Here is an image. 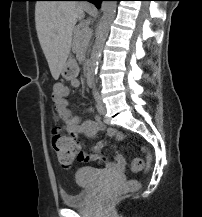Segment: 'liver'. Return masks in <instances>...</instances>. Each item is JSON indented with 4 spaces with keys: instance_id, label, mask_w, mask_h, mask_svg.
<instances>
[{
    "instance_id": "6515ba94",
    "label": "liver",
    "mask_w": 202,
    "mask_h": 217,
    "mask_svg": "<svg viewBox=\"0 0 202 217\" xmlns=\"http://www.w3.org/2000/svg\"><path fill=\"white\" fill-rule=\"evenodd\" d=\"M90 9L86 3L39 1L35 6L37 36L52 77L57 80L70 54L77 21Z\"/></svg>"
}]
</instances>
